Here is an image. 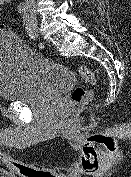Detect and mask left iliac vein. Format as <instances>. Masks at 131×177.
Listing matches in <instances>:
<instances>
[{
  "mask_svg": "<svg viewBox=\"0 0 131 177\" xmlns=\"http://www.w3.org/2000/svg\"><path fill=\"white\" fill-rule=\"evenodd\" d=\"M31 21H32V24H33V26H34V28H35V31L37 32V20H36V18H32L31 19ZM37 38V37H36Z\"/></svg>",
  "mask_w": 131,
  "mask_h": 177,
  "instance_id": "obj_1",
  "label": "left iliac vein"
}]
</instances>
